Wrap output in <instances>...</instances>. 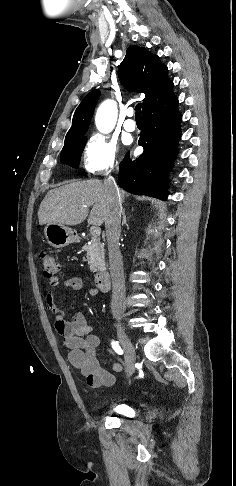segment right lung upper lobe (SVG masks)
Returning a JSON list of instances; mask_svg holds the SVG:
<instances>
[{
    "instance_id": "right-lung-upper-lobe-1",
    "label": "right lung upper lobe",
    "mask_w": 236,
    "mask_h": 486,
    "mask_svg": "<svg viewBox=\"0 0 236 486\" xmlns=\"http://www.w3.org/2000/svg\"><path fill=\"white\" fill-rule=\"evenodd\" d=\"M168 68L161 64L157 55L143 47L130 46L119 65L118 74L122 85L130 90L145 93L143 109L173 93V82L167 77ZM100 92L94 90L84 97L77 107L72 126L65 137V144L84 137L88 130Z\"/></svg>"
}]
</instances>
